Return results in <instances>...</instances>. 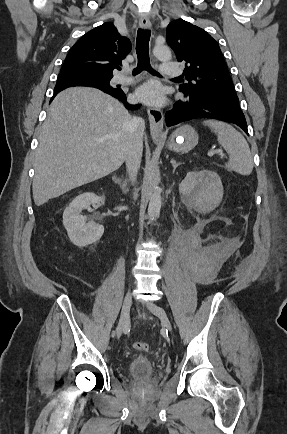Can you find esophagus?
<instances>
[{"label":"esophagus","instance_id":"esophagus-1","mask_svg":"<svg viewBox=\"0 0 287 434\" xmlns=\"http://www.w3.org/2000/svg\"><path fill=\"white\" fill-rule=\"evenodd\" d=\"M139 25L143 29H149L151 27L149 18L142 15L139 19ZM147 113L151 135L153 139H159L163 130V112L157 108H148Z\"/></svg>","mask_w":287,"mask_h":434}]
</instances>
